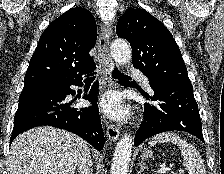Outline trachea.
Segmentation results:
<instances>
[{
    "instance_id": "1",
    "label": "trachea",
    "mask_w": 224,
    "mask_h": 174,
    "mask_svg": "<svg viewBox=\"0 0 224 174\" xmlns=\"http://www.w3.org/2000/svg\"><path fill=\"white\" fill-rule=\"evenodd\" d=\"M112 77L114 79H118L119 81H128V80H131V77H129L127 75H124L117 68H114V70L112 71ZM93 79H95L94 76L87 78V80H93Z\"/></svg>"
}]
</instances>
